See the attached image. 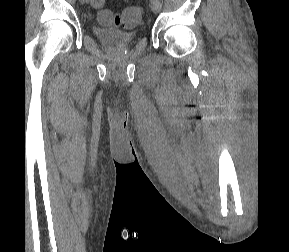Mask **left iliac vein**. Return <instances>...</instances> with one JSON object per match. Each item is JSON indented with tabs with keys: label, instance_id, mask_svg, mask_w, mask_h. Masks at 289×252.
Returning <instances> with one entry per match:
<instances>
[{
	"label": "left iliac vein",
	"instance_id": "1",
	"mask_svg": "<svg viewBox=\"0 0 289 252\" xmlns=\"http://www.w3.org/2000/svg\"><path fill=\"white\" fill-rule=\"evenodd\" d=\"M150 7L154 13H158L161 10L162 4L160 0H151Z\"/></svg>",
	"mask_w": 289,
	"mask_h": 252
}]
</instances>
